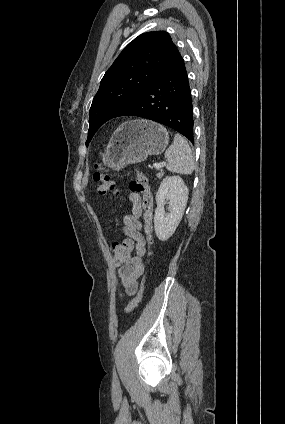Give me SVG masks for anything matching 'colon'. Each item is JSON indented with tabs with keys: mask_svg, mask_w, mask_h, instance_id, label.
<instances>
[{
	"mask_svg": "<svg viewBox=\"0 0 285 424\" xmlns=\"http://www.w3.org/2000/svg\"><path fill=\"white\" fill-rule=\"evenodd\" d=\"M93 178L97 183V190L102 195H115L117 194V189L115 183L110 178L107 170L101 163H96L94 166ZM130 189L133 192L140 193L143 197V206L145 209V220H146V233L148 236V242L151 245L153 243L152 238V209H153V199L150 191V187L148 184L147 178L139 172H136L133 180L130 184ZM133 250V244L131 240L125 239L121 242H114L110 247V251L116 265L125 261L131 256ZM142 299V287L139 293L131 300V302L127 305L125 312L131 313L133 312L138 305L140 304Z\"/></svg>",
	"mask_w": 285,
	"mask_h": 424,
	"instance_id": "colon-1",
	"label": "colon"
}]
</instances>
